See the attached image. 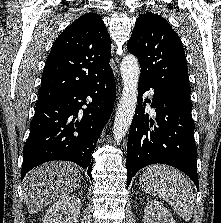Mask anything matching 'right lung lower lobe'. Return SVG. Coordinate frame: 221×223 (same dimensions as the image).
I'll return each instance as SVG.
<instances>
[{
    "label": "right lung lower lobe",
    "instance_id": "1",
    "mask_svg": "<svg viewBox=\"0 0 221 223\" xmlns=\"http://www.w3.org/2000/svg\"><path fill=\"white\" fill-rule=\"evenodd\" d=\"M115 96L116 84L110 69L70 94L36 105L23 149L22 179L32 168L53 160L72 161L91 177V154L111 115ZM80 109L83 113H79Z\"/></svg>",
    "mask_w": 221,
    "mask_h": 223
}]
</instances>
